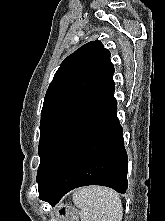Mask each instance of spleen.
I'll list each match as a JSON object with an SVG mask.
<instances>
[{"label":"spleen","mask_w":165,"mask_h":221,"mask_svg":"<svg viewBox=\"0 0 165 221\" xmlns=\"http://www.w3.org/2000/svg\"><path fill=\"white\" fill-rule=\"evenodd\" d=\"M73 202L81 210V221L122 220L121 199L112 189L99 186L83 187L74 192Z\"/></svg>","instance_id":"obj_1"}]
</instances>
